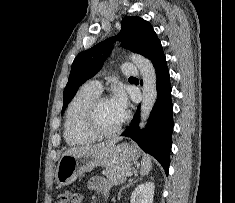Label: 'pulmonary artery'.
<instances>
[{"mask_svg":"<svg viewBox=\"0 0 235 203\" xmlns=\"http://www.w3.org/2000/svg\"><path fill=\"white\" fill-rule=\"evenodd\" d=\"M122 72L126 76H132L137 74V69L133 64L125 63L122 65ZM87 84L99 92L102 90V83L97 79L90 80Z\"/></svg>","mask_w":235,"mask_h":203,"instance_id":"e3ab8cb5","label":"pulmonary artery"}]
</instances>
